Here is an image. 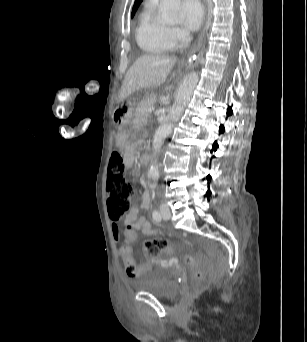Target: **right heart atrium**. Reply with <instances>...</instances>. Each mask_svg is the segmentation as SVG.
<instances>
[{
	"label": "right heart atrium",
	"mask_w": 307,
	"mask_h": 342,
	"mask_svg": "<svg viewBox=\"0 0 307 342\" xmlns=\"http://www.w3.org/2000/svg\"><path fill=\"white\" fill-rule=\"evenodd\" d=\"M163 36L169 44L175 45L177 43V40H178V32L177 31L164 32Z\"/></svg>",
	"instance_id": "right-heart-atrium-1"
}]
</instances>
